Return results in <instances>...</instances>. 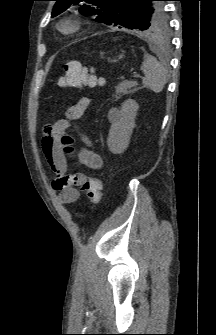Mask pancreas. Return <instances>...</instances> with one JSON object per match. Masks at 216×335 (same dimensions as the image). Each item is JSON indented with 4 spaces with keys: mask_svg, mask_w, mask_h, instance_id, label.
<instances>
[{
    "mask_svg": "<svg viewBox=\"0 0 216 335\" xmlns=\"http://www.w3.org/2000/svg\"><path fill=\"white\" fill-rule=\"evenodd\" d=\"M137 83L133 81H123L119 83L115 89H116V100L120 99L123 95L133 93L137 91L139 88L136 87Z\"/></svg>",
    "mask_w": 216,
    "mask_h": 335,
    "instance_id": "obj_1",
    "label": "pancreas"
}]
</instances>
